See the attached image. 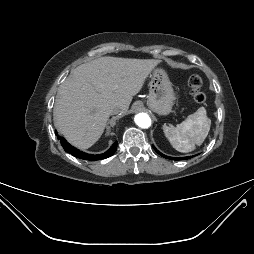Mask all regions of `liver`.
<instances>
[{
	"label": "liver",
	"instance_id": "obj_1",
	"mask_svg": "<svg viewBox=\"0 0 254 254\" xmlns=\"http://www.w3.org/2000/svg\"><path fill=\"white\" fill-rule=\"evenodd\" d=\"M158 64L155 59L107 56L79 65L58 89L57 130L77 148H90L103 134L111 109L120 107L125 114Z\"/></svg>",
	"mask_w": 254,
	"mask_h": 254
}]
</instances>
